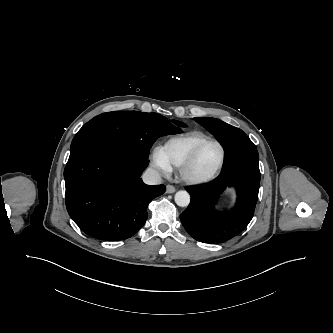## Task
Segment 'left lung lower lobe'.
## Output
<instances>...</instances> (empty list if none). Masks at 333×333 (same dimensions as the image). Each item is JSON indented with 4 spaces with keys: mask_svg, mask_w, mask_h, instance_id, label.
I'll list each match as a JSON object with an SVG mask.
<instances>
[{
    "mask_svg": "<svg viewBox=\"0 0 333 333\" xmlns=\"http://www.w3.org/2000/svg\"><path fill=\"white\" fill-rule=\"evenodd\" d=\"M224 150L222 173L205 185L186 188L191 202L180 215L190 236L204 243H223L241 233L251 221L258 200L260 170L255 145L245 134ZM230 187L237 191L236 205L231 212H219L215 204Z\"/></svg>",
    "mask_w": 333,
    "mask_h": 333,
    "instance_id": "obj_1",
    "label": "left lung lower lobe"
}]
</instances>
